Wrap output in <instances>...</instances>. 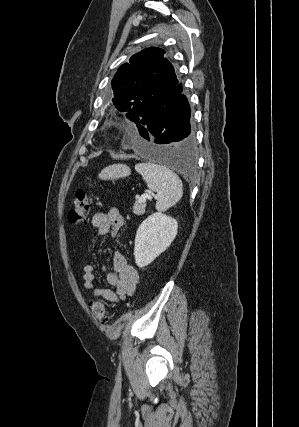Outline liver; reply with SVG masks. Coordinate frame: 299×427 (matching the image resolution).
Returning a JSON list of instances; mask_svg holds the SVG:
<instances>
[{"instance_id":"1","label":"liver","mask_w":299,"mask_h":427,"mask_svg":"<svg viewBox=\"0 0 299 427\" xmlns=\"http://www.w3.org/2000/svg\"><path fill=\"white\" fill-rule=\"evenodd\" d=\"M130 174V168L123 164H114L104 168L99 174L101 179H115Z\"/></svg>"}]
</instances>
